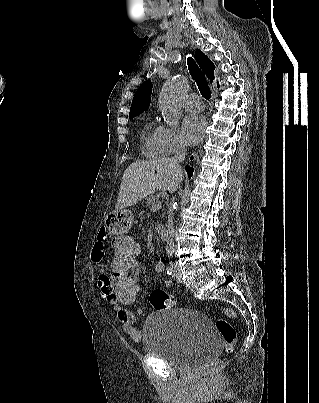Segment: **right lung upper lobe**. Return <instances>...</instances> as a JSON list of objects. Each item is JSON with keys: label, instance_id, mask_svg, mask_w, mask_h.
I'll list each match as a JSON object with an SVG mask.
<instances>
[{"label": "right lung upper lobe", "instance_id": "right-lung-upper-lobe-1", "mask_svg": "<svg viewBox=\"0 0 319 403\" xmlns=\"http://www.w3.org/2000/svg\"><path fill=\"white\" fill-rule=\"evenodd\" d=\"M195 57L197 59L198 64L201 69L205 72L207 77L212 80L214 79V64L210 61V59L200 50L195 52ZM219 87V84L217 83ZM151 93H152V83L150 80H146L137 90L132 100V105L130 108V116H137L143 111H145L151 102Z\"/></svg>", "mask_w": 319, "mask_h": 403}]
</instances>
